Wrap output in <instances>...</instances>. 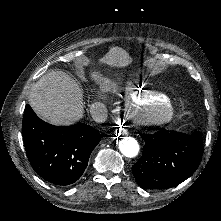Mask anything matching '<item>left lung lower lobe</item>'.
<instances>
[{
	"label": "left lung lower lobe",
	"mask_w": 221,
	"mask_h": 221,
	"mask_svg": "<svg viewBox=\"0 0 221 221\" xmlns=\"http://www.w3.org/2000/svg\"><path fill=\"white\" fill-rule=\"evenodd\" d=\"M145 141L140 160L132 166L138 185L145 189H167L190 177L203 154L200 132L185 135L161 130L141 134Z\"/></svg>",
	"instance_id": "0a47b994"
}]
</instances>
